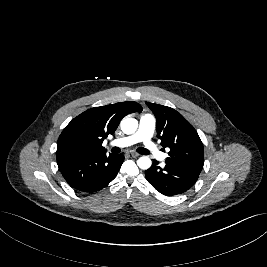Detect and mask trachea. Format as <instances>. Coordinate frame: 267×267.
<instances>
[{
  "label": "trachea",
  "mask_w": 267,
  "mask_h": 267,
  "mask_svg": "<svg viewBox=\"0 0 267 267\" xmlns=\"http://www.w3.org/2000/svg\"><path fill=\"white\" fill-rule=\"evenodd\" d=\"M115 149H118V148L115 147ZM137 152L142 154V155H148L149 154V151L147 149L141 148V147L137 149Z\"/></svg>",
  "instance_id": "1"
}]
</instances>
